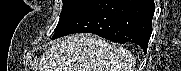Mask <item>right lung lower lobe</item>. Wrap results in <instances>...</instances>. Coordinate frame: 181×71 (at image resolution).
<instances>
[{"instance_id": "right-lung-lower-lobe-1", "label": "right lung lower lobe", "mask_w": 181, "mask_h": 71, "mask_svg": "<svg viewBox=\"0 0 181 71\" xmlns=\"http://www.w3.org/2000/svg\"><path fill=\"white\" fill-rule=\"evenodd\" d=\"M154 11V0H94L52 39L87 32L120 44L135 43L146 54Z\"/></svg>"}]
</instances>
